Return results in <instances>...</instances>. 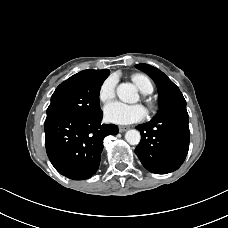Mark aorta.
Instances as JSON below:
<instances>
[{"label": "aorta", "instance_id": "762f6f07", "mask_svg": "<svg viewBox=\"0 0 228 228\" xmlns=\"http://www.w3.org/2000/svg\"><path fill=\"white\" fill-rule=\"evenodd\" d=\"M117 96L126 103H136L139 100L137 88L131 83H121L117 87ZM125 139L130 145H137L140 142L141 136L138 130L132 129L126 132Z\"/></svg>", "mask_w": 228, "mask_h": 228}]
</instances>
